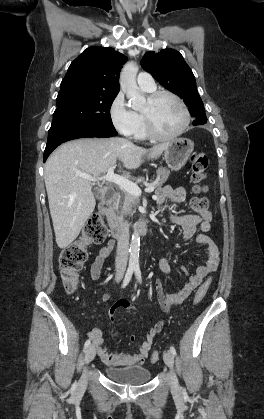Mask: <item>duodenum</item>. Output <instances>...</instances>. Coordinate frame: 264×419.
Returning <instances> with one entry per match:
<instances>
[{"label": "duodenum", "mask_w": 264, "mask_h": 419, "mask_svg": "<svg viewBox=\"0 0 264 419\" xmlns=\"http://www.w3.org/2000/svg\"><path fill=\"white\" fill-rule=\"evenodd\" d=\"M118 197L116 192H112L108 194L99 204V212L103 214L108 222L109 225V232L112 237L119 239L123 236L125 226L117 219L113 214V205ZM150 223L148 220H140L137 221L133 225V230L138 232L139 234H146L149 231Z\"/></svg>", "instance_id": "duodenum-1"}]
</instances>
